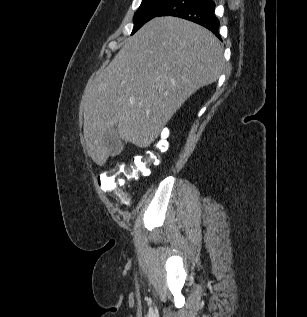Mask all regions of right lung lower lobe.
Masks as SVG:
<instances>
[{
	"label": "right lung lower lobe",
	"instance_id": "obj_1",
	"mask_svg": "<svg viewBox=\"0 0 307 317\" xmlns=\"http://www.w3.org/2000/svg\"><path fill=\"white\" fill-rule=\"evenodd\" d=\"M213 0H173L158 16H175L204 26L221 39Z\"/></svg>",
	"mask_w": 307,
	"mask_h": 317
}]
</instances>
